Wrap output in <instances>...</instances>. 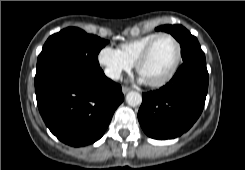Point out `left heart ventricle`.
I'll return each instance as SVG.
<instances>
[{"mask_svg": "<svg viewBox=\"0 0 245 170\" xmlns=\"http://www.w3.org/2000/svg\"><path fill=\"white\" fill-rule=\"evenodd\" d=\"M177 55V47L169 37L160 38L148 59L141 65L140 74L146 81H157L171 69Z\"/></svg>", "mask_w": 245, "mask_h": 170, "instance_id": "left-heart-ventricle-1", "label": "left heart ventricle"}]
</instances>
